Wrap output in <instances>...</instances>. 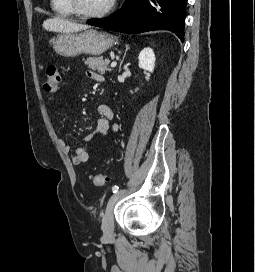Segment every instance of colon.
Wrapping results in <instances>:
<instances>
[{"mask_svg": "<svg viewBox=\"0 0 255 272\" xmlns=\"http://www.w3.org/2000/svg\"><path fill=\"white\" fill-rule=\"evenodd\" d=\"M61 84V76L56 65H49L45 70L44 90L47 92H57ZM95 186L101 187L106 184L107 177L104 174L95 175L92 179Z\"/></svg>", "mask_w": 255, "mask_h": 272, "instance_id": "obj_1", "label": "colon"}]
</instances>
